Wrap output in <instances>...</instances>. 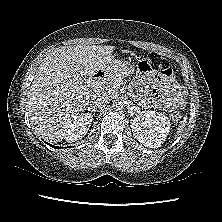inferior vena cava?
Wrapping results in <instances>:
<instances>
[{
  "label": "inferior vena cava",
  "instance_id": "inferior-vena-cava-1",
  "mask_svg": "<svg viewBox=\"0 0 222 222\" xmlns=\"http://www.w3.org/2000/svg\"><path fill=\"white\" fill-rule=\"evenodd\" d=\"M107 103H108L107 96L100 93H95L90 98V109L96 110L97 108H103L107 105Z\"/></svg>",
  "mask_w": 222,
  "mask_h": 222
}]
</instances>
